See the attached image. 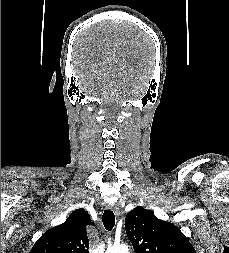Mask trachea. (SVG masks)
<instances>
[{"label": "trachea", "instance_id": "1", "mask_svg": "<svg viewBox=\"0 0 229 253\" xmlns=\"http://www.w3.org/2000/svg\"><path fill=\"white\" fill-rule=\"evenodd\" d=\"M102 220L105 229L111 231L115 225V216L113 211L105 210L102 216Z\"/></svg>", "mask_w": 229, "mask_h": 253}]
</instances>
